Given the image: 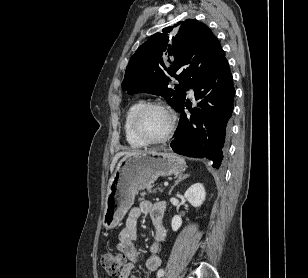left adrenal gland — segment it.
I'll list each match as a JSON object with an SVG mask.
<instances>
[{"label": "left adrenal gland", "instance_id": "obj_1", "mask_svg": "<svg viewBox=\"0 0 308 278\" xmlns=\"http://www.w3.org/2000/svg\"><path fill=\"white\" fill-rule=\"evenodd\" d=\"M188 177H190L189 174H179L178 177H177V180L175 181L174 185L171 187L170 191H169V195H171L174 187L176 185H178L181 181H183L184 179H187Z\"/></svg>", "mask_w": 308, "mask_h": 278}]
</instances>
